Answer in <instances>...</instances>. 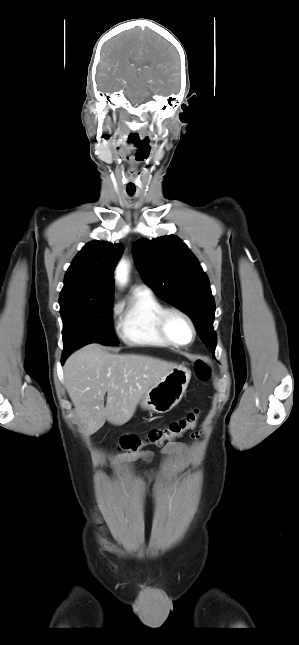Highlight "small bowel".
Masks as SVG:
<instances>
[{
	"mask_svg": "<svg viewBox=\"0 0 299 645\" xmlns=\"http://www.w3.org/2000/svg\"><path fill=\"white\" fill-rule=\"evenodd\" d=\"M194 437H198L199 433H195L193 435ZM162 454H174L178 456L185 457L189 453V448L186 444L184 443H173V444H168L161 450ZM154 457V453L152 451H143L134 455H131L130 457L127 458L128 461H137V460H143L146 462H150ZM113 473L118 474L119 470L117 467L113 468Z\"/></svg>",
	"mask_w": 299,
	"mask_h": 645,
	"instance_id": "small-bowel-1",
	"label": "small bowel"
}]
</instances>
